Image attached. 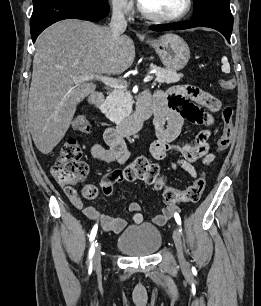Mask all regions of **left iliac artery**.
Returning a JSON list of instances; mask_svg holds the SVG:
<instances>
[{
  "label": "left iliac artery",
  "instance_id": "obj_1",
  "mask_svg": "<svg viewBox=\"0 0 261 306\" xmlns=\"http://www.w3.org/2000/svg\"><path fill=\"white\" fill-rule=\"evenodd\" d=\"M174 218H175V221L177 222V224L181 225V218H180V215L177 212L174 214Z\"/></svg>",
  "mask_w": 261,
  "mask_h": 306
}]
</instances>
